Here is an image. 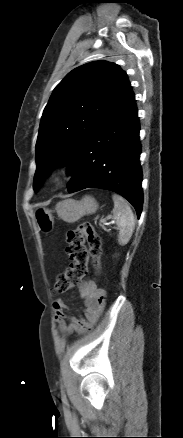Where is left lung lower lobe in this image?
<instances>
[{
	"label": "left lung lower lobe",
	"instance_id": "obj_1",
	"mask_svg": "<svg viewBox=\"0 0 183 438\" xmlns=\"http://www.w3.org/2000/svg\"><path fill=\"white\" fill-rule=\"evenodd\" d=\"M139 121L133 92L80 145L71 158L69 193L85 188L114 191L126 198L140 217L143 204Z\"/></svg>",
	"mask_w": 183,
	"mask_h": 438
}]
</instances>
